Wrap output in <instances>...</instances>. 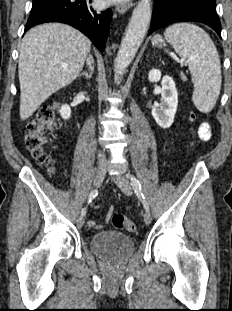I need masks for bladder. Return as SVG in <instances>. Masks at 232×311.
I'll return each mask as SVG.
<instances>
[{
	"label": "bladder",
	"instance_id": "bladder-1",
	"mask_svg": "<svg viewBox=\"0 0 232 311\" xmlns=\"http://www.w3.org/2000/svg\"><path fill=\"white\" fill-rule=\"evenodd\" d=\"M90 247L95 254L109 261H119L133 252L135 244L131 237L107 230L93 235Z\"/></svg>",
	"mask_w": 232,
	"mask_h": 311
}]
</instances>
